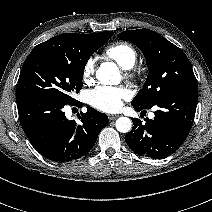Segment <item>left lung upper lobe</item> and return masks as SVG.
<instances>
[{
    "label": "left lung upper lobe",
    "instance_id": "5c2ea615",
    "mask_svg": "<svg viewBox=\"0 0 212 212\" xmlns=\"http://www.w3.org/2000/svg\"><path fill=\"white\" fill-rule=\"evenodd\" d=\"M118 37L136 44L148 65L146 82L133 99L132 106L147 109L173 94L197 90L190 61L167 39L149 29L127 30Z\"/></svg>",
    "mask_w": 212,
    "mask_h": 212
}]
</instances>
